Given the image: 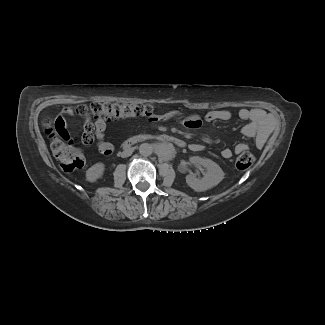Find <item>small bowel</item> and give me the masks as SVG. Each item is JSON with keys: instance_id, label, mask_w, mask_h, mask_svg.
Here are the masks:
<instances>
[{"instance_id": "1", "label": "small bowel", "mask_w": 325, "mask_h": 325, "mask_svg": "<svg viewBox=\"0 0 325 325\" xmlns=\"http://www.w3.org/2000/svg\"><path fill=\"white\" fill-rule=\"evenodd\" d=\"M73 114L72 107H66L62 109L59 114V117L55 120V125L57 131L60 133L61 138L64 139V142L68 146L75 147L78 145L79 140L75 136H71L68 133V126L65 118ZM61 116V117H60ZM238 116L242 120H248L250 123L243 128V133L246 136L258 135L257 143H261L267 134L271 126V117H269L261 109H240ZM233 117L232 113L229 110H212L205 114L202 118L197 114L189 115L182 119L184 125L189 129H199L203 123H212V122H225L231 120ZM181 118L180 114L177 112H168L165 115L159 117V119H174ZM158 119V118H157ZM156 119V120H157ZM107 128V122L103 118H97L95 121L85 120L84 123V133L82 136V142L85 145L96 144L98 151L105 157H109L114 152V146L105 139V131ZM192 151H201L203 145L200 143H192L190 145ZM248 149V146L245 143H238L235 148V153H241ZM233 155V151L229 148H225L221 151V156L224 159H229Z\"/></svg>"}]
</instances>
